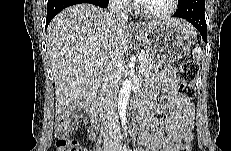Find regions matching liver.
I'll return each mask as SVG.
<instances>
[{
  "mask_svg": "<svg viewBox=\"0 0 231 151\" xmlns=\"http://www.w3.org/2000/svg\"><path fill=\"white\" fill-rule=\"evenodd\" d=\"M170 21L188 34L194 30L185 20ZM129 42L127 21H117L93 4H76L55 16L47 28L46 44L55 82L56 114L95 92L108 68L121 65Z\"/></svg>",
  "mask_w": 231,
  "mask_h": 151,
  "instance_id": "1",
  "label": "liver"
}]
</instances>
